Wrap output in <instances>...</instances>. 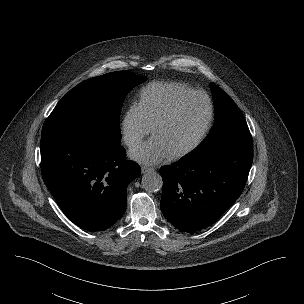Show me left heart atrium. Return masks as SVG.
<instances>
[{
    "label": "left heart atrium",
    "instance_id": "obj_1",
    "mask_svg": "<svg viewBox=\"0 0 304 304\" xmlns=\"http://www.w3.org/2000/svg\"><path fill=\"white\" fill-rule=\"evenodd\" d=\"M170 156L164 144L155 137L130 152L133 160L148 165L157 164Z\"/></svg>",
    "mask_w": 304,
    "mask_h": 304
}]
</instances>
